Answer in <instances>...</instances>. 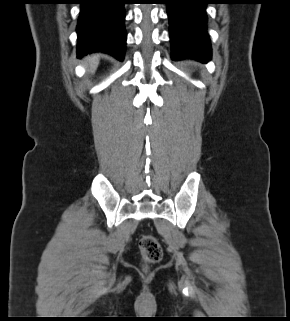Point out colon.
I'll use <instances>...</instances> for the list:
<instances>
[{"mask_svg": "<svg viewBox=\"0 0 290 321\" xmlns=\"http://www.w3.org/2000/svg\"><path fill=\"white\" fill-rule=\"evenodd\" d=\"M144 260L147 263H156L161 260L163 252L159 242L150 235L144 236L139 243Z\"/></svg>", "mask_w": 290, "mask_h": 321, "instance_id": "obj_1", "label": "colon"}]
</instances>
